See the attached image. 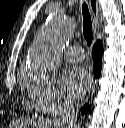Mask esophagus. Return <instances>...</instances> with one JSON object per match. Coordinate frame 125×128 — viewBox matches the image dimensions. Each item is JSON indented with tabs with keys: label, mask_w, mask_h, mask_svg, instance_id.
Returning <instances> with one entry per match:
<instances>
[{
	"label": "esophagus",
	"mask_w": 125,
	"mask_h": 128,
	"mask_svg": "<svg viewBox=\"0 0 125 128\" xmlns=\"http://www.w3.org/2000/svg\"><path fill=\"white\" fill-rule=\"evenodd\" d=\"M89 6L93 19L94 32H96L100 24V8H99L98 0H89Z\"/></svg>",
	"instance_id": "obj_1"
}]
</instances>
